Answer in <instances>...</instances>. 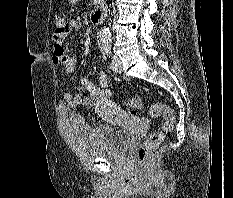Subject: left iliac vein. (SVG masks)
Segmentation results:
<instances>
[{"label":"left iliac vein","instance_id":"left-iliac-vein-1","mask_svg":"<svg viewBox=\"0 0 233 198\" xmlns=\"http://www.w3.org/2000/svg\"><path fill=\"white\" fill-rule=\"evenodd\" d=\"M111 68L115 73H122V63L117 55H114L112 58Z\"/></svg>","mask_w":233,"mask_h":198}]
</instances>
